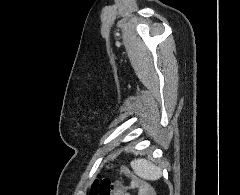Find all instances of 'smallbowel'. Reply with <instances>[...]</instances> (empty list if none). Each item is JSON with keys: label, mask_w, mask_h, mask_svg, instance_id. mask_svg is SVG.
<instances>
[{"label": "small bowel", "mask_w": 240, "mask_h": 195, "mask_svg": "<svg viewBox=\"0 0 240 195\" xmlns=\"http://www.w3.org/2000/svg\"><path fill=\"white\" fill-rule=\"evenodd\" d=\"M125 193H122V195H132L133 192H136L137 195H150V193L147 192L148 188H151L150 186H124Z\"/></svg>", "instance_id": "obj_1"}]
</instances>
